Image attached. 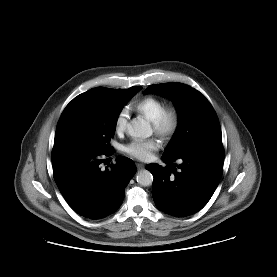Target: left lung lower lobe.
Instances as JSON below:
<instances>
[{
  "label": "left lung lower lobe",
  "mask_w": 277,
  "mask_h": 277,
  "mask_svg": "<svg viewBox=\"0 0 277 277\" xmlns=\"http://www.w3.org/2000/svg\"><path fill=\"white\" fill-rule=\"evenodd\" d=\"M170 164L163 168L148 164L153 177L152 196L162 211L185 217L201 210L217 188L223 172L224 149L222 142L206 143L179 158V171L175 161L164 159Z\"/></svg>",
  "instance_id": "0a47b994"
}]
</instances>
